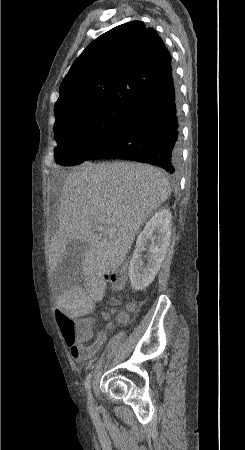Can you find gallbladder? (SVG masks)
Masks as SVG:
<instances>
[{"label": "gallbladder", "mask_w": 245, "mask_h": 450, "mask_svg": "<svg viewBox=\"0 0 245 450\" xmlns=\"http://www.w3.org/2000/svg\"><path fill=\"white\" fill-rule=\"evenodd\" d=\"M87 249L88 244L86 242L72 240L67 245L55 270L56 277L67 285L71 284L72 281H80L83 277L82 260Z\"/></svg>", "instance_id": "bac80fb5"}]
</instances>
